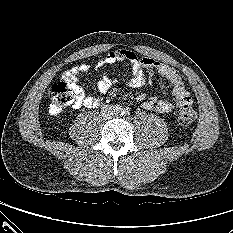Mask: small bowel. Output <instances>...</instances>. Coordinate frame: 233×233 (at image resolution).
<instances>
[{
    "label": "small bowel",
    "mask_w": 233,
    "mask_h": 233,
    "mask_svg": "<svg viewBox=\"0 0 233 233\" xmlns=\"http://www.w3.org/2000/svg\"><path fill=\"white\" fill-rule=\"evenodd\" d=\"M119 62H129L132 68L131 77L128 85L131 88H140L145 83L144 70L147 68L155 69L162 77H164L172 85L171 100H157L155 98L148 99L143 103V108L146 110H156L159 113L166 114L173 111L175 108H181L184 105H191L193 100L190 93L185 89L183 80L180 74L171 66L158 62L152 58L139 57L136 53L126 49H119L109 52L106 57L100 61L96 69L102 71L106 66L113 65ZM90 71L88 64H81L66 71L63 79L67 85L75 93V101L73 107L97 108L100 105V99L89 96L79 85V76ZM116 80L102 73L97 89L100 93H106L114 85Z\"/></svg>",
    "instance_id": "obj_1"
}]
</instances>
